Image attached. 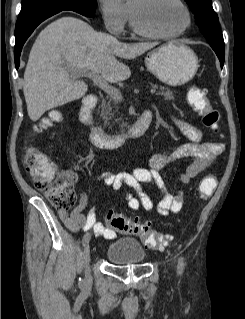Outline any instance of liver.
Wrapping results in <instances>:
<instances>
[{
  "label": "liver",
  "mask_w": 245,
  "mask_h": 319,
  "mask_svg": "<svg viewBox=\"0 0 245 319\" xmlns=\"http://www.w3.org/2000/svg\"><path fill=\"white\" fill-rule=\"evenodd\" d=\"M157 43H122L96 32L76 17H61L36 38L24 73L23 92L28 116L37 121L46 111L80 99L88 91L74 72H94L115 83L131 72L116 57L134 59Z\"/></svg>",
  "instance_id": "liver-1"
}]
</instances>
